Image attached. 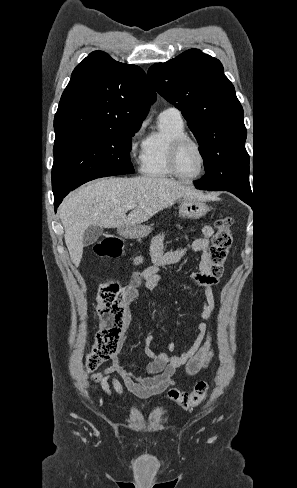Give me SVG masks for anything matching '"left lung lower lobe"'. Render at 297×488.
Returning <instances> with one entry per match:
<instances>
[{
	"label": "left lung lower lobe",
	"instance_id": "obj_1",
	"mask_svg": "<svg viewBox=\"0 0 297 488\" xmlns=\"http://www.w3.org/2000/svg\"><path fill=\"white\" fill-rule=\"evenodd\" d=\"M230 192V191H229ZM233 193L234 195H236L237 197H239L242 201H244L245 203H247L248 205H250L252 207V197L251 196H248V197H244V196H241L235 192H231Z\"/></svg>",
	"mask_w": 297,
	"mask_h": 488
}]
</instances>
